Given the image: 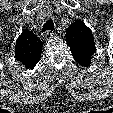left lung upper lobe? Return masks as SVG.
Segmentation results:
<instances>
[{
	"label": "left lung upper lobe",
	"instance_id": "5c2ea615",
	"mask_svg": "<svg viewBox=\"0 0 113 113\" xmlns=\"http://www.w3.org/2000/svg\"><path fill=\"white\" fill-rule=\"evenodd\" d=\"M65 37L73 58L80 65L89 66L96 51L91 29L83 21L77 20L68 27Z\"/></svg>",
	"mask_w": 113,
	"mask_h": 113
}]
</instances>
